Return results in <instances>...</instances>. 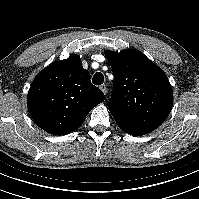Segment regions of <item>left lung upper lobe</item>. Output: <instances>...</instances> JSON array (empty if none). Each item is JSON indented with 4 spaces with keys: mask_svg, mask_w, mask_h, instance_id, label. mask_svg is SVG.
Instances as JSON below:
<instances>
[{
    "mask_svg": "<svg viewBox=\"0 0 199 199\" xmlns=\"http://www.w3.org/2000/svg\"><path fill=\"white\" fill-rule=\"evenodd\" d=\"M114 83L108 108L118 126L144 135L158 128L168 117L173 91L163 70L143 53L105 51Z\"/></svg>",
    "mask_w": 199,
    "mask_h": 199,
    "instance_id": "obj_1",
    "label": "left lung upper lobe"
}]
</instances>
